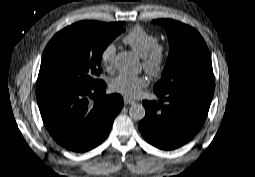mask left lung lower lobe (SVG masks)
<instances>
[{
	"label": "left lung lower lobe",
	"instance_id": "0a47b994",
	"mask_svg": "<svg viewBox=\"0 0 255 177\" xmlns=\"http://www.w3.org/2000/svg\"><path fill=\"white\" fill-rule=\"evenodd\" d=\"M213 92L214 84L210 83L186 85L164 94L155 92L162 99L158 103L143 101L146 116L138 124L141 134L163 150L187 143L204 124Z\"/></svg>",
	"mask_w": 255,
	"mask_h": 177
}]
</instances>
